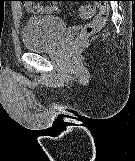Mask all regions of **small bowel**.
Here are the masks:
<instances>
[{
	"label": "small bowel",
	"instance_id": "obj_1",
	"mask_svg": "<svg viewBox=\"0 0 135 161\" xmlns=\"http://www.w3.org/2000/svg\"><path fill=\"white\" fill-rule=\"evenodd\" d=\"M25 8L33 13H51L56 10L55 5H49V6H39L36 5L33 1H22Z\"/></svg>",
	"mask_w": 135,
	"mask_h": 161
}]
</instances>
